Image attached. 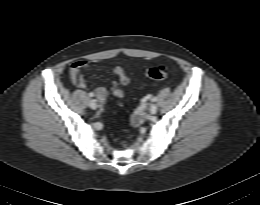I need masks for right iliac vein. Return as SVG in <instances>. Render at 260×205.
I'll return each mask as SVG.
<instances>
[{
	"label": "right iliac vein",
	"instance_id": "63e3f726",
	"mask_svg": "<svg viewBox=\"0 0 260 205\" xmlns=\"http://www.w3.org/2000/svg\"><path fill=\"white\" fill-rule=\"evenodd\" d=\"M89 106L91 109H97V107H98L97 101L95 99H91L89 101Z\"/></svg>",
	"mask_w": 260,
	"mask_h": 205
}]
</instances>
